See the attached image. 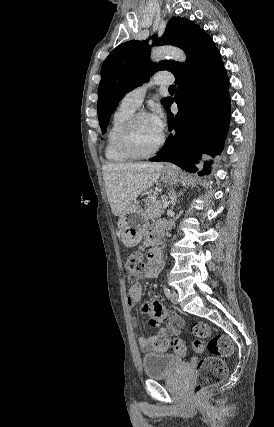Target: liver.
<instances>
[{
    "instance_id": "liver-1",
    "label": "liver",
    "mask_w": 274,
    "mask_h": 427,
    "mask_svg": "<svg viewBox=\"0 0 274 427\" xmlns=\"http://www.w3.org/2000/svg\"><path fill=\"white\" fill-rule=\"evenodd\" d=\"M157 164H105L102 166L103 182L112 214L121 215L132 202L157 182L161 170Z\"/></svg>"
}]
</instances>
